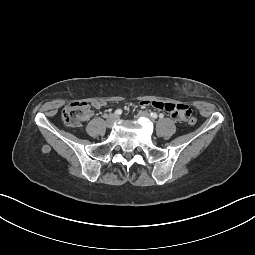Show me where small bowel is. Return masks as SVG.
I'll use <instances>...</instances> for the list:
<instances>
[{
	"label": "small bowel",
	"instance_id": "c3829d8e",
	"mask_svg": "<svg viewBox=\"0 0 255 255\" xmlns=\"http://www.w3.org/2000/svg\"><path fill=\"white\" fill-rule=\"evenodd\" d=\"M142 105H150L155 109L164 110L171 115L174 121H181L182 119H188L191 116V109L186 104H172L164 103L160 101H143ZM103 106L102 102H97L95 107L100 108Z\"/></svg>",
	"mask_w": 255,
	"mask_h": 255
}]
</instances>
